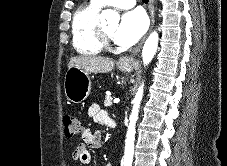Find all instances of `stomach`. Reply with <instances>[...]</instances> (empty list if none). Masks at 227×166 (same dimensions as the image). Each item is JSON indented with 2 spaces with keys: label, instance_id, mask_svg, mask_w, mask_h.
<instances>
[{
  "label": "stomach",
  "instance_id": "0dacf381",
  "mask_svg": "<svg viewBox=\"0 0 227 166\" xmlns=\"http://www.w3.org/2000/svg\"><path fill=\"white\" fill-rule=\"evenodd\" d=\"M133 68V64L120 65V69L124 72H131ZM64 90L68 101L76 104L83 102L91 91L89 73L77 67L69 68L64 78Z\"/></svg>",
  "mask_w": 227,
  "mask_h": 166
}]
</instances>
